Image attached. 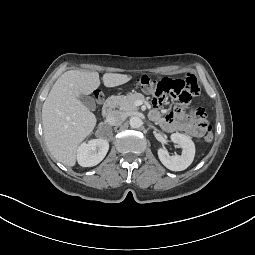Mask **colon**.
Listing matches in <instances>:
<instances>
[{"instance_id":"obj_1","label":"colon","mask_w":255,"mask_h":255,"mask_svg":"<svg viewBox=\"0 0 255 255\" xmlns=\"http://www.w3.org/2000/svg\"><path fill=\"white\" fill-rule=\"evenodd\" d=\"M136 83L140 88L154 96L156 105H161L164 96L169 95L176 99L180 106H186L199 93L197 79L191 73L187 74L183 80L154 79L148 75H142L137 78ZM193 114L199 123L206 125L205 112L202 108H195ZM204 140L206 142L213 140V133L210 127L207 129Z\"/></svg>"}]
</instances>
